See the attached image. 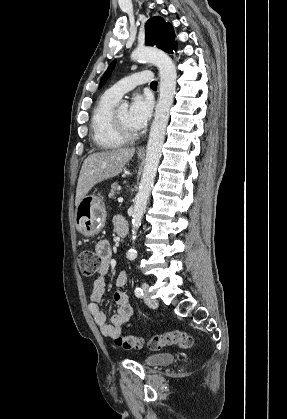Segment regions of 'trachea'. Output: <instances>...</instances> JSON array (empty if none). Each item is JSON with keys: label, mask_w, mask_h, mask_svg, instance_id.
Listing matches in <instances>:
<instances>
[{"label": "trachea", "mask_w": 287, "mask_h": 419, "mask_svg": "<svg viewBox=\"0 0 287 419\" xmlns=\"http://www.w3.org/2000/svg\"><path fill=\"white\" fill-rule=\"evenodd\" d=\"M157 84H158V83H157V81H153V82L150 84V86H151V87H157Z\"/></svg>", "instance_id": "obj_1"}]
</instances>
